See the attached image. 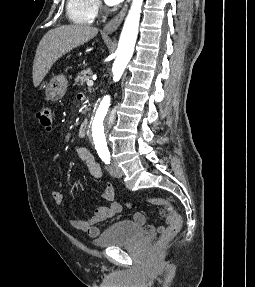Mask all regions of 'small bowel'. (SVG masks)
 Listing matches in <instances>:
<instances>
[{
    "label": "small bowel",
    "instance_id": "small-bowel-1",
    "mask_svg": "<svg viewBox=\"0 0 255 287\" xmlns=\"http://www.w3.org/2000/svg\"><path fill=\"white\" fill-rule=\"evenodd\" d=\"M74 152L76 156L86 164L89 174L95 180H100L102 177V170L91 152L86 147L80 145L74 147ZM102 198L108 203L107 205L97 208L89 218H76L71 220V225L76 229L86 232L91 237L98 236L99 228L97 225L114 217L122 209L121 205L114 199V189L112 185L107 184L104 187L102 191ZM52 199L55 204L60 205L63 202V193L58 190L53 191ZM161 214L165 219V223L169 225L171 223L170 210L164 209L161 211ZM133 221L136 224L144 227L147 232L152 234L163 233L165 231L164 225L153 226L147 224L146 216L142 212L134 213Z\"/></svg>",
    "mask_w": 255,
    "mask_h": 287
}]
</instances>
